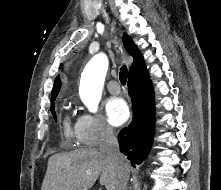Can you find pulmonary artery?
Listing matches in <instances>:
<instances>
[{
    "instance_id": "obj_1",
    "label": "pulmonary artery",
    "mask_w": 221,
    "mask_h": 190,
    "mask_svg": "<svg viewBox=\"0 0 221 190\" xmlns=\"http://www.w3.org/2000/svg\"><path fill=\"white\" fill-rule=\"evenodd\" d=\"M107 89L111 94H119L120 93V85L116 81H109L107 83Z\"/></svg>"
}]
</instances>
